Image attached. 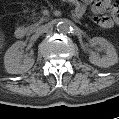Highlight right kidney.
<instances>
[{"label": "right kidney", "instance_id": "1", "mask_svg": "<svg viewBox=\"0 0 119 119\" xmlns=\"http://www.w3.org/2000/svg\"><path fill=\"white\" fill-rule=\"evenodd\" d=\"M24 43H14L5 53L4 64L10 74H22L27 72L34 64L33 55H23Z\"/></svg>", "mask_w": 119, "mask_h": 119}]
</instances>
